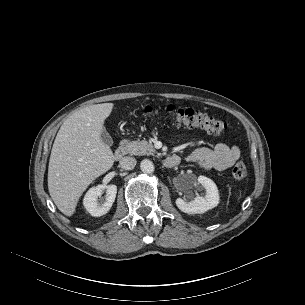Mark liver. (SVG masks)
I'll return each instance as SVG.
<instances>
[{"mask_svg": "<svg viewBox=\"0 0 305 305\" xmlns=\"http://www.w3.org/2000/svg\"><path fill=\"white\" fill-rule=\"evenodd\" d=\"M113 106L85 107L67 118L57 133L49 160L48 190L66 216L74 214L86 188L113 166V152L100 138Z\"/></svg>", "mask_w": 305, "mask_h": 305, "instance_id": "liver-1", "label": "liver"}]
</instances>
